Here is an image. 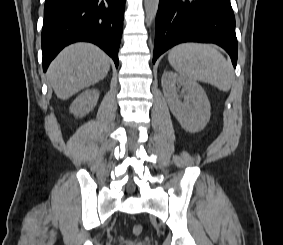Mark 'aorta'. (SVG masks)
Wrapping results in <instances>:
<instances>
[{"mask_svg":"<svg viewBox=\"0 0 283 245\" xmlns=\"http://www.w3.org/2000/svg\"><path fill=\"white\" fill-rule=\"evenodd\" d=\"M159 0H144L146 19L152 23L158 10Z\"/></svg>","mask_w":283,"mask_h":245,"instance_id":"aorta-1","label":"aorta"}]
</instances>
